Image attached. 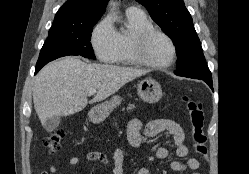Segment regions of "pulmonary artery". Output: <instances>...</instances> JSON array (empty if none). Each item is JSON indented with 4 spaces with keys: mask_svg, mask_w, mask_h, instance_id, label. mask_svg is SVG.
Here are the masks:
<instances>
[{
    "mask_svg": "<svg viewBox=\"0 0 249 174\" xmlns=\"http://www.w3.org/2000/svg\"><path fill=\"white\" fill-rule=\"evenodd\" d=\"M127 11L140 13L141 11L137 7H130Z\"/></svg>",
    "mask_w": 249,
    "mask_h": 174,
    "instance_id": "pulmonary-artery-1",
    "label": "pulmonary artery"
}]
</instances>
